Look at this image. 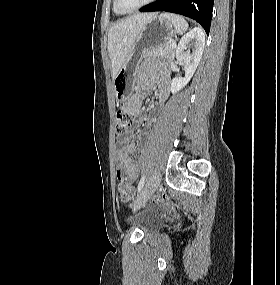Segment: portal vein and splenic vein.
<instances>
[{
  "label": "portal vein and splenic vein",
  "instance_id": "1",
  "mask_svg": "<svg viewBox=\"0 0 280 285\" xmlns=\"http://www.w3.org/2000/svg\"><path fill=\"white\" fill-rule=\"evenodd\" d=\"M171 47H172L173 49H175V48H176V43L173 42V43L171 44Z\"/></svg>",
  "mask_w": 280,
  "mask_h": 285
}]
</instances>
